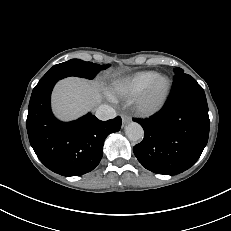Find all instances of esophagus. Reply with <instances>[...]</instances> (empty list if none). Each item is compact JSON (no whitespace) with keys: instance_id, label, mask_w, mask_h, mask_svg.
<instances>
[{"instance_id":"obj_1","label":"esophagus","mask_w":231,"mask_h":231,"mask_svg":"<svg viewBox=\"0 0 231 231\" xmlns=\"http://www.w3.org/2000/svg\"><path fill=\"white\" fill-rule=\"evenodd\" d=\"M121 118H122L123 126H125L126 124L131 122V118L129 116L125 115V114H122Z\"/></svg>"}]
</instances>
